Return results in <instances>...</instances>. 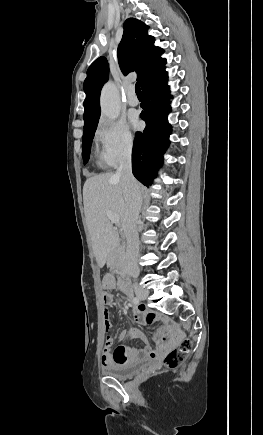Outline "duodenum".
Returning a JSON list of instances; mask_svg holds the SVG:
<instances>
[{
	"instance_id": "1",
	"label": "duodenum",
	"mask_w": 263,
	"mask_h": 435,
	"mask_svg": "<svg viewBox=\"0 0 263 435\" xmlns=\"http://www.w3.org/2000/svg\"><path fill=\"white\" fill-rule=\"evenodd\" d=\"M119 282H120V286L121 288L127 293V294H131V288L129 286V282H128V276L127 273L125 271H122L120 273V277H119Z\"/></svg>"
}]
</instances>
